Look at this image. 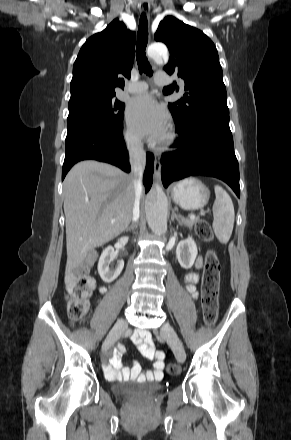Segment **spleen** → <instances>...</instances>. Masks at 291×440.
Listing matches in <instances>:
<instances>
[{
  "mask_svg": "<svg viewBox=\"0 0 291 440\" xmlns=\"http://www.w3.org/2000/svg\"><path fill=\"white\" fill-rule=\"evenodd\" d=\"M216 199L213 204V230L217 239L228 243L234 226L235 212L229 194L219 185H215Z\"/></svg>",
  "mask_w": 291,
  "mask_h": 440,
  "instance_id": "3e777b00",
  "label": "spleen"
}]
</instances>
